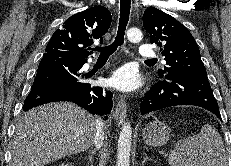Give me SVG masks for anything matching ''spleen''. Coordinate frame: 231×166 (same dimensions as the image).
<instances>
[{
    "label": "spleen",
    "mask_w": 231,
    "mask_h": 166,
    "mask_svg": "<svg viewBox=\"0 0 231 166\" xmlns=\"http://www.w3.org/2000/svg\"><path fill=\"white\" fill-rule=\"evenodd\" d=\"M170 166H228L222 138L211 125L199 134L179 140L168 154Z\"/></svg>",
    "instance_id": "obj_1"
}]
</instances>
